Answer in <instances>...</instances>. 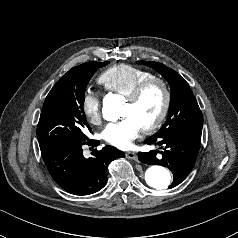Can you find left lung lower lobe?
<instances>
[{
    "instance_id": "1",
    "label": "left lung lower lobe",
    "mask_w": 238,
    "mask_h": 238,
    "mask_svg": "<svg viewBox=\"0 0 238 238\" xmlns=\"http://www.w3.org/2000/svg\"><path fill=\"white\" fill-rule=\"evenodd\" d=\"M201 134L202 130L185 129L150 136L144 143L159 146L160 151L140 152L139 161L168 167L173 173V182L169 188H173L191 172L201 146Z\"/></svg>"
}]
</instances>
